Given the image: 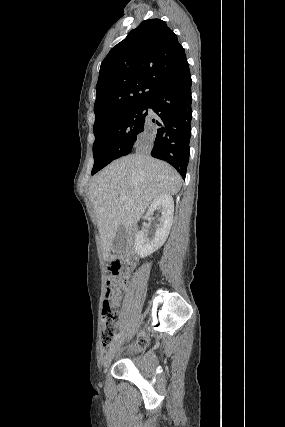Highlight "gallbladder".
Masks as SVG:
<instances>
[{"label": "gallbladder", "instance_id": "gallbladder-1", "mask_svg": "<svg viewBox=\"0 0 285 427\" xmlns=\"http://www.w3.org/2000/svg\"><path fill=\"white\" fill-rule=\"evenodd\" d=\"M126 245V232L123 226H120L112 242V250L121 253Z\"/></svg>", "mask_w": 285, "mask_h": 427}]
</instances>
